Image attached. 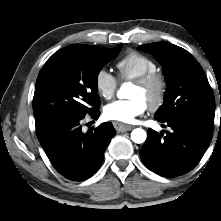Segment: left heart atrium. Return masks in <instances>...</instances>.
I'll list each match as a JSON object with an SVG mask.
<instances>
[{"label":"left heart atrium","instance_id":"left-heart-atrium-1","mask_svg":"<svg viewBox=\"0 0 221 221\" xmlns=\"http://www.w3.org/2000/svg\"><path fill=\"white\" fill-rule=\"evenodd\" d=\"M146 110V103L139 98L114 101L104 108V115L109 120L132 123Z\"/></svg>","mask_w":221,"mask_h":221}]
</instances>
